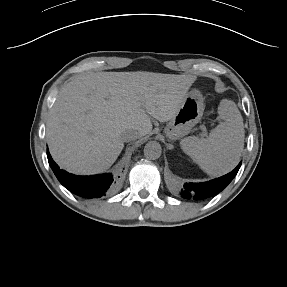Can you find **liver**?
Wrapping results in <instances>:
<instances>
[{"instance_id":"obj_1","label":"liver","mask_w":287,"mask_h":287,"mask_svg":"<svg viewBox=\"0 0 287 287\" xmlns=\"http://www.w3.org/2000/svg\"><path fill=\"white\" fill-rule=\"evenodd\" d=\"M195 76L139 72H91L64 85L50 110L46 138L61 167L96 174L111 167L124 148L128 129L145 136L151 117L171 120ZM150 115V116H149Z\"/></svg>"}]
</instances>
